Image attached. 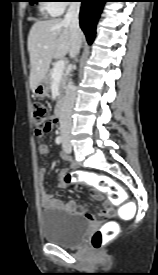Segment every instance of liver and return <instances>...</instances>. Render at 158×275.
I'll return each instance as SVG.
<instances>
[{"instance_id": "liver-1", "label": "liver", "mask_w": 158, "mask_h": 275, "mask_svg": "<svg viewBox=\"0 0 158 275\" xmlns=\"http://www.w3.org/2000/svg\"><path fill=\"white\" fill-rule=\"evenodd\" d=\"M70 47L69 24L62 19L37 21L33 24L28 35L31 66L29 82L32 92L46 77L52 59L64 58Z\"/></svg>"}]
</instances>
